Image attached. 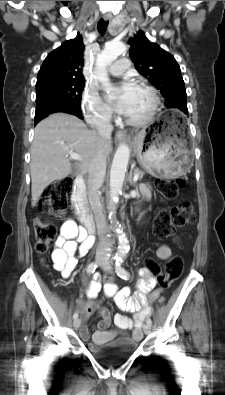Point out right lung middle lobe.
Wrapping results in <instances>:
<instances>
[{
  "mask_svg": "<svg viewBox=\"0 0 225 395\" xmlns=\"http://www.w3.org/2000/svg\"><path fill=\"white\" fill-rule=\"evenodd\" d=\"M85 80L52 81L36 85V113L38 117L62 105H80Z\"/></svg>",
  "mask_w": 225,
  "mask_h": 395,
  "instance_id": "right-lung-middle-lobe-1",
  "label": "right lung middle lobe"
}]
</instances>
